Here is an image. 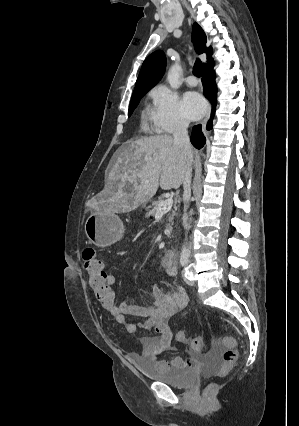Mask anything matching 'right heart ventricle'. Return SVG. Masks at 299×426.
<instances>
[{
    "label": "right heart ventricle",
    "mask_w": 299,
    "mask_h": 426,
    "mask_svg": "<svg viewBox=\"0 0 299 426\" xmlns=\"http://www.w3.org/2000/svg\"><path fill=\"white\" fill-rule=\"evenodd\" d=\"M143 126L144 128H147V114L145 112L143 114Z\"/></svg>",
    "instance_id": "1"
}]
</instances>
